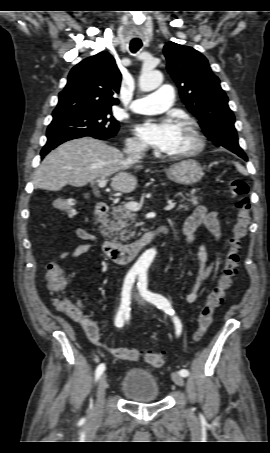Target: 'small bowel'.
I'll return each instance as SVG.
<instances>
[{
	"mask_svg": "<svg viewBox=\"0 0 270 453\" xmlns=\"http://www.w3.org/2000/svg\"><path fill=\"white\" fill-rule=\"evenodd\" d=\"M204 224L211 234L219 238L220 236V223L218 215L216 212H210L205 206L197 207L193 213L186 219L184 224V234L186 237V243L193 242L195 237V231L199 225ZM75 237L80 240L85 241V243L77 246L73 251L65 249L61 253V258L71 257L72 259H77L82 255L88 253L94 246L96 242V237L83 228H76L74 231ZM197 261L198 268L192 283L191 290L186 295V301L188 303H194L198 297L199 292L204 284V282L209 277L214 264L207 262V249L205 245H200L197 251ZM81 316L79 318H72L75 322L80 324L85 330L89 340L96 346L104 348L108 351L114 358L124 361H139L141 358L140 351L137 349H130L125 347L120 348H108L106 347L100 339L99 327L97 323L92 320L87 312L85 307L81 302H77Z\"/></svg>",
	"mask_w": 270,
	"mask_h": 453,
	"instance_id": "c3829d8e",
	"label": "small bowel"
}]
</instances>
